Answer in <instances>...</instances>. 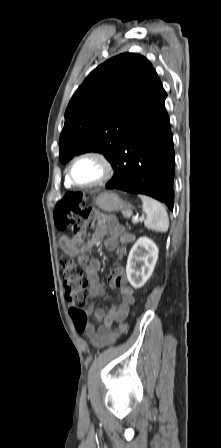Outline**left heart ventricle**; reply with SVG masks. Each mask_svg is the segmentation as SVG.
I'll return each mask as SVG.
<instances>
[{
    "label": "left heart ventricle",
    "mask_w": 221,
    "mask_h": 448,
    "mask_svg": "<svg viewBox=\"0 0 221 448\" xmlns=\"http://www.w3.org/2000/svg\"><path fill=\"white\" fill-rule=\"evenodd\" d=\"M104 173L103 166L93 158H82L75 162L72 169L74 180L81 184L98 181Z\"/></svg>",
    "instance_id": "b2bd125f"
}]
</instances>
